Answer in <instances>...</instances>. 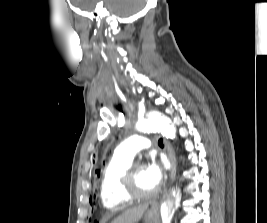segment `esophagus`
Returning a JSON list of instances; mask_svg holds the SVG:
<instances>
[{
	"label": "esophagus",
	"instance_id": "1",
	"mask_svg": "<svg viewBox=\"0 0 267 223\" xmlns=\"http://www.w3.org/2000/svg\"><path fill=\"white\" fill-rule=\"evenodd\" d=\"M164 144H165V147L167 149L169 161L171 163L170 178L174 179V177L176 175V156H175V152H174V149H173L172 145L170 144V142L167 141L166 139L164 140Z\"/></svg>",
	"mask_w": 267,
	"mask_h": 223
}]
</instances>
